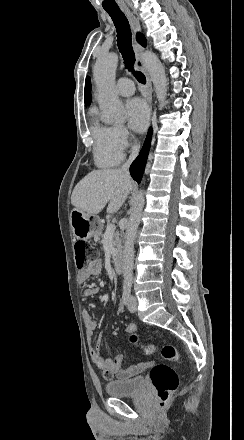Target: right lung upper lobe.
<instances>
[{"label": "right lung upper lobe", "mask_w": 244, "mask_h": 440, "mask_svg": "<svg viewBox=\"0 0 244 440\" xmlns=\"http://www.w3.org/2000/svg\"><path fill=\"white\" fill-rule=\"evenodd\" d=\"M138 43L143 46H146V39L143 34L137 33L136 35ZM91 102V80L87 76L85 81V105Z\"/></svg>", "instance_id": "obj_1"}]
</instances>
